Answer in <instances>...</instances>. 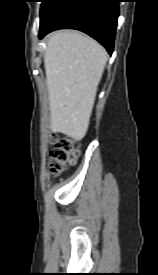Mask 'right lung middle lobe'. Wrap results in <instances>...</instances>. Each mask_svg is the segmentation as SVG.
Instances as JSON below:
<instances>
[{
	"label": "right lung middle lobe",
	"mask_w": 158,
	"mask_h": 275,
	"mask_svg": "<svg viewBox=\"0 0 158 275\" xmlns=\"http://www.w3.org/2000/svg\"><path fill=\"white\" fill-rule=\"evenodd\" d=\"M58 0H42L40 20L53 8Z\"/></svg>",
	"instance_id": "1"
}]
</instances>
